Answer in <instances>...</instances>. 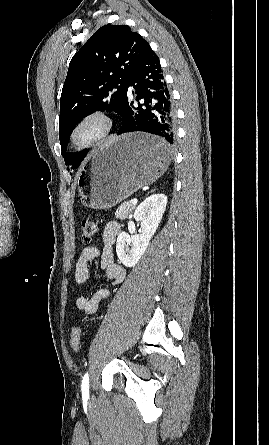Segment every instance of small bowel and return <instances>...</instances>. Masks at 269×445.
I'll return each instance as SVG.
<instances>
[{"mask_svg":"<svg viewBox=\"0 0 269 445\" xmlns=\"http://www.w3.org/2000/svg\"><path fill=\"white\" fill-rule=\"evenodd\" d=\"M121 232L119 223L108 222L102 233L104 247L100 250L94 245L84 247L78 257L75 266V283L84 284L89 278V263L99 260L101 269L105 271L106 277L113 284H120L124 281L126 273L124 268L115 261L112 245ZM111 291L107 287L97 289L92 296H80L76 299V307L87 315L94 314L101 301L109 298Z\"/></svg>","mask_w":269,"mask_h":445,"instance_id":"c3829d8e","label":"small bowel"}]
</instances>
